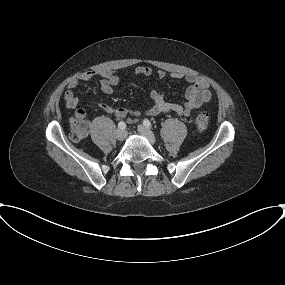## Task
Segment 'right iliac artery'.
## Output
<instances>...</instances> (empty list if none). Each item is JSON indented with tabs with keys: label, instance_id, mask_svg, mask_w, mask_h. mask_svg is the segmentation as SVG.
<instances>
[{
	"label": "right iliac artery",
	"instance_id": "1",
	"mask_svg": "<svg viewBox=\"0 0 285 285\" xmlns=\"http://www.w3.org/2000/svg\"><path fill=\"white\" fill-rule=\"evenodd\" d=\"M118 128L121 129V130H124V129L126 128L125 122L120 121V122L118 123Z\"/></svg>",
	"mask_w": 285,
	"mask_h": 285
}]
</instances>
